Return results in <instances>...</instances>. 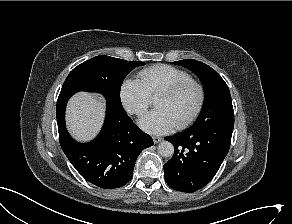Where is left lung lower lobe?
Here are the masks:
<instances>
[{"mask_svg":"<svg viewBox=\"0 0 292 224\" xmlns=\"http://www.w3.org/2000/svg\"><path fill=\"white\" fill-rule=\"evenodd\" d=\"M233 128L234 119H229L165 137L175 147L173 157L164 165L166 183L187 193L209 183L228 153Z\"/></svg>","mask_w":292,"mask_h":224,"instance_id":"0a47b994","label":"left lung lower lobe"}]
</instances>
